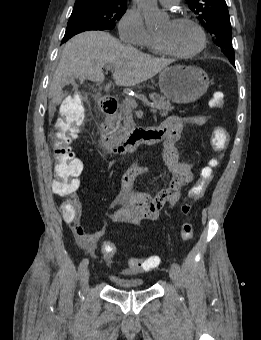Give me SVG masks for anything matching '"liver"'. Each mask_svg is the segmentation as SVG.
Returning <instances> with one entry per match:
<instances>
[{
	"instance_id": "liver-1",
	"label": "liver",
	"mask_w": 261,
	"mask_h": 340,
	"mask_svg": "<svg viewBox=\"0 0 261 340\" xmlns=\"http://www.w3.org/2000/svg\"><path fill=\"white\" fill-rule=\"evenodd\" d=\"M172 61L154 58L132 46L122 45L104 31H87L70 39L64 46L60 61L49 89L51 103L49 117H53V105L59 104L65 94L63 88L75 78L103 82L104 66H112L113 80L117 86H134L146 81Z\"/></svg>"
}]
</instances>
